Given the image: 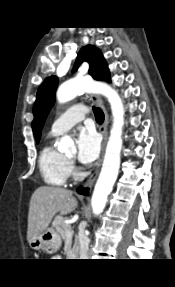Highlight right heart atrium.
Here are the masks:
<instances>
[{"instance_id": "d8ad5b80", "label": "right heart atrium", "mask_w": 175, "mask_h": 287, "mask_svg": "<svg viewBox=\"0 0 175 287\" xmlns=\"http://www.w3.org/2000/svg\"><path fill=\"white\" fill-rule=\"evenodd\" d=\"M68 169L70 174H75L76 173V166L72 160L68 161Z\"/></svg>"}]
</instances>
